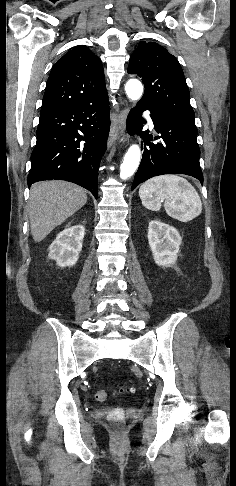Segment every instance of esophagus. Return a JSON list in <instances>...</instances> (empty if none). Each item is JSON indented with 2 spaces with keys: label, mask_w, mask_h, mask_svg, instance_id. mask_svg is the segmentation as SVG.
I'll list each match as a JSON object with an SVG mask.
<instances>
[{
  "label": "esophagus",
  "mask_w": 236,
  "mask_h": 486,
  "mask_svg": "<svg viewBox=\"0 0 236 486\" xmlns=\"http://www.w3.org/2000/svg\"><path fill=\"white\" fill-rule=\"evenodd\" d=\"M128 114V108L125 107L120 110L117 115H114L112 118L111 128H110V135H109V148L114 144L117 140L118 142L125 141V123Z\"/></svg>",
  "instance_id": "obj_1"
}]
</instances>
